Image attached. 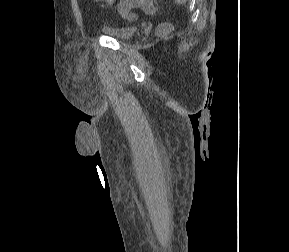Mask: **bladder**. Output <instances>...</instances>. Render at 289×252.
I'll return each instance as SVG.
<instances>
[{
  "label": "bladder",
  "instance_id": "1",
  "mask_svg": "<svg viewBox=\"0 0 289 252\" xmlns=\"http://www.w3.org/2000/svg\"><path fill=\"white\" fill-rule=\"evenodd\" d=\"M101 31L114 39L127 40L132 38L136 33V28L133 26H108L103 27Z\"/></svg>",
  "mask_w": 289,
  "mask_h": 252
}]
</instances>
